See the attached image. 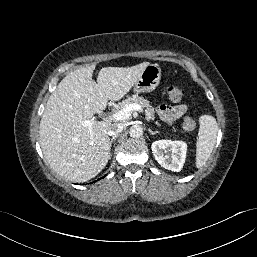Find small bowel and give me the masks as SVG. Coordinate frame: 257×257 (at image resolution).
Listing matches in <instances>:
<instances>
[{"mask_svg": "<svg viewBox=\"0 0 257 257\" xmlns=\"http://www.w3.org/2000/svg\"><path fill=\"white\" fill-rule=\"evenodd\" d=\"M186 111L187 106L184 104H178L174 106L162 105L158 109L159 115L166 122H172L180 118L182 115L185 114Z\"/></svg>", "mask_w": 257, "mask_h": 257, "instance_id": "small-bowel-1", "label": "small bowel"}]
</instances>
